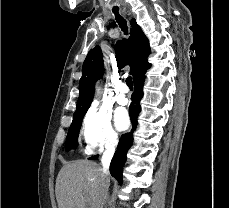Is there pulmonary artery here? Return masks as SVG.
Masks as SVG:
<instances>
[{"label":"pulmonary artery","instance_id":"pulmonary-artery-1","mask_svg":"<svg viewBox=\"0 0 229 208\" xmlns=\"http://www.w3.org/2000/svg\"><path fill=\"white\" fill-rule=\"evenodd\" d=\"M118 101L123 105L129 103L128 87L124 82L120 85V95L118 97Z\"/></svg>","mask_w":229,"mask_h":208}]
</instances>
